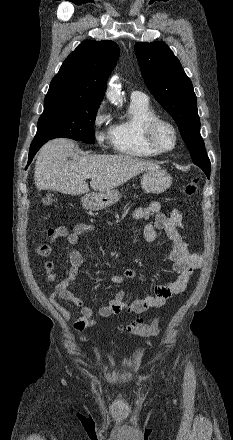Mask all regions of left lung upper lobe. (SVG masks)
Here are the masks:
<instances>
[{"label":"left lung upper lobe","mask_w":233,"mask_h":440,"mask_svg":"<svg viewBox=\"0 0 233 440\" xmlns=\"http://www.w3.org/2000/svg\"><path fill=\"white\" fill-rule=\"evenodd\" d=\"M135 53L148 89L175 120L193 162H210L200 135L193 85L179 60L161 41L138 42Z\"/></svg>","instance_id":"5c2ea615"}]
</instances>
